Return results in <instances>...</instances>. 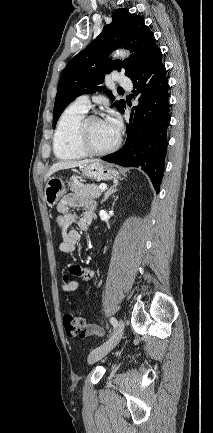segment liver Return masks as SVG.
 Masks as SVG:
<instances>
[{"label": "liver", "mask_w": 213, "mask_h": 433, "mask_svg": "<svg viewBox=\"0 0 213 433\" xmlns=\"http://www.w3.org/2000/svg\"><path fill=\"white\" fill-rule=\"evenodd\" d=\"M94 161H96V160L85 159V160H82V161H62V162L55 163L49 169V171H48V173L46 175V178H49L52 174H54L55 172H57L59 170L70 169V168H75V167H78V166H83L85 164H89V163H92Z\"/></svg>", "instance_id": "1"}]
</instances>
